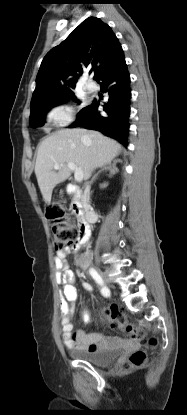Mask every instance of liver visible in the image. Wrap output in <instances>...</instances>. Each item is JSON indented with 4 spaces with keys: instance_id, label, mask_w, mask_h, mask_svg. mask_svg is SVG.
I'll return each mask as SVG.
<instances>
[{
    "instance_id": "obj_1",
    "label": "liver",
    "mask_w": 187,
    "mask_h": 415,
    "mask_svg": "<svg viewBox=\"0 0 187 415\" xmlns=\"http://www.w3.org/2000/svg\"><path fill=\"white\" fill-rule=\"evenodd\" d=\"M121 145L100 132L85 129H65L47 136L39 145L35 174L44 201L50 204L54 187L68 179L73 162L88 179L91 171L111 163L119 154ZM58 164V172L53 170Z\"/></svg>"
}]
</instances>
